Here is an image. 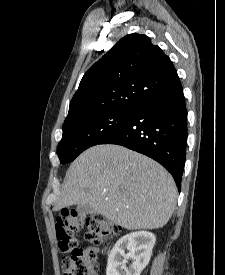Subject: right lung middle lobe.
<instances>
[{"instance_id": "dd1d6c3e", "label": "right lung middle lobe", "mask_w": 225, "mask_h": 275, "mask_svg": "<svg viewBox=\"0 0 225 275\" xmlns=\"http://www.w3.org/2000/svg\"><path fill=\"white\" fill-rule=\"evenodd\" d=\"M132 110L102 112L63 125V136L57 152L61 163L73 161L87 148L99 144L119 128Z\"/></svg>"}]
</instances>
